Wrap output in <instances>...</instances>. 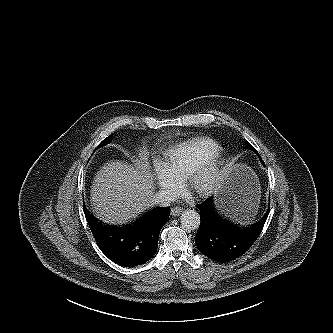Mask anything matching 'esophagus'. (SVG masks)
Instances as JSON below:
<instances>
[{
    "label": "esophagus",
    "instance_id": "1",
    "mask_svg": "<svg viewBox=\"0 0 333 333\" xmlns=\"http://www.w3.org/2000/svg\"><path fill=\"white\" fill-rule=\"evenodd\" d=\"M183 212V209L180 207H174L171 209V215L172 216H178Z\"/></svg>",
    "mask_w": 333,
    "mask_h": 333
}]
</instances>
